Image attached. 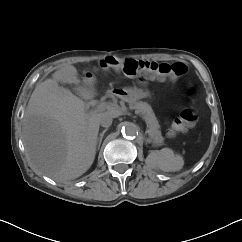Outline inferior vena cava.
Here are the masks:
<instances>
[{
  "mask_svg": "<svg viewBox=\"0 0 242 242\" xmlns=\"http://www.w3.org/2000/svg\"><path fill=\"white\" fill-rule=\"evenodd\" d=\"M113 118L108 113H102L99 118V123L102 127L108 128L112 124Z\"/></svg>",
  "mask_w": 242,
  "mask_h": 242,
  "instance_id": "602c4592",
  "label": "inferior vena cava"
}]
</instances>
